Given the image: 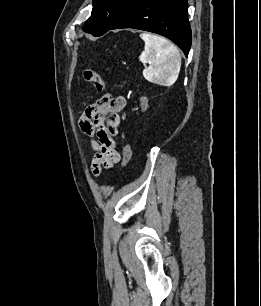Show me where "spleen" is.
<instances>
[{
  "label": "spleen",
  "mask_w": 261,
  "mask_h": 306,
  "mask_svg": "<svg viewBox=\"0 0 261 306\" xmlns=\"http://www.w3.org/2000/svg\"><path fill=\"white\" fill-rule=\"evenodd\" d=\"M140 37L145 47L139 60L149 64L143 70L145 79L161 86L173 85L181 68V55L177 47L158 35L142 33Z\"/></svg>",
  "instance_id": "spleen-1"
}]
</instances>
